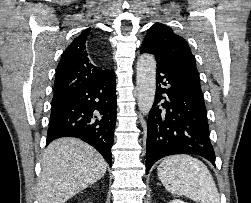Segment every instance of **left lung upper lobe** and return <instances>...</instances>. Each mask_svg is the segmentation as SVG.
Returning a JSON list of instances; mask_svg holds the SVG:
<instances>
[{
    "instance_id": "obj_1",
    "label": "left lung upper lobe",
    "mask_w": 251,
    "mask_h": 203,
    "mask_svg": "<svg viewBox=\"0 0 251 203\" xmlns=\"http://www.w3.org/2000/svg\"><path fill=\"white\" fill-rule=\"evenodd\" d=\"M141 48L154 54L158 60L168 61L181 67L200 83L195 58L188 43L168 26L156 23L149 28Z\"/></svg>"
}]
</instances>
